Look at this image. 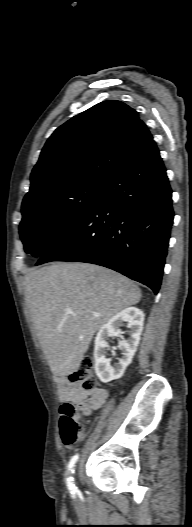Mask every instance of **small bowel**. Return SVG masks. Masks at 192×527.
I'll return each mask as SVG.
<instances>
[{"label": "small bowel", "instance_id": "1", "mask_svg": "<svg viewBox=\"0 0 192 527\" xmlns=\"http://www.w3.org/2000/svg\"><path fill=\"white\" fill-rule=\"evenodd\" d=\"M62 398L75 403L78 409L86 416L92 411L99 409L105 402L108 392L106 389L97 387L93 390H85L80 385L66 378L60 380Z\"/></svg>", "mask_w": 192, "mask_h": 527}]
</instances>
